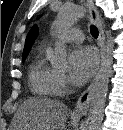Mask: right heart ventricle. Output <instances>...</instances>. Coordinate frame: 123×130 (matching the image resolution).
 <instances>
[{
  "label": "right heart ventricle",
  "instance_id": "1",
  "mask_svg": "<svg viewBox=\"0 0 123 130\" xmlns=\"http://www.w3.org/2000/svg\"><path fill=\"white\" fill-rule=\"evenodd\" d=\"M48 48L37 51L29 70L32 91L41 97L49 98L59 94V72L47 60Z\"/></svg>",
  "mask_w": 123,
  "mask_h": 130
}]
</instances>
